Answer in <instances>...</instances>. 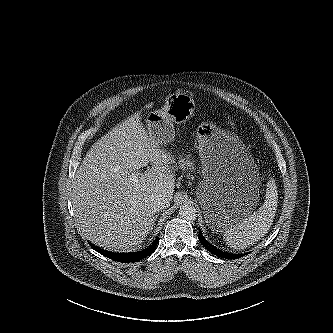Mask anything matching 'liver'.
<instances>
[{
	"label": "liver",
	"instance_id": "6515ba94",
	"mask_svg": "<svg viewBox=\"0 0 333 333\" xmlns=\"http://www.w3.org/2000/svg\"><path fill=\"white\" fill-rule=\"evenodd\" d=\"M149 162L152 168L138 175ZM171 163L174 157L146 132L139 113L114 127L87 152L74 177L72 206L82 235L109 251L134 250L153 229L154 197H173Z\"/></svg>",
	"mask_w": 333,
	"mask_h": 333
}]
</instances>
